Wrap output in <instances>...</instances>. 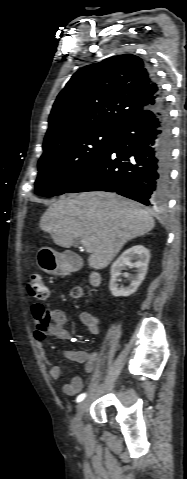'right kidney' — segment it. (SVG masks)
Here are the masks:
<instances>
[{
    "label": "right kidney",
    "mask_w": 187,
    "mask_h": 479,
    "mask_svg": "<svg viewBox=\"0 0 187 479\" xmlns=\"http://www.w3.org/2000/svg\"><path fill=\"white\" fill-rule=\"evenodd\" d=\"M149 260L150 252L142 245L125 250L111 266L109 283L111 294L114 297H127L135 293L146 276ZM127 267L136 268L135 274L130 276L131 282L128 287H119V276Z\"/></svg>",
    "instance_id": "right-kidney-1"
}]
</instances>
